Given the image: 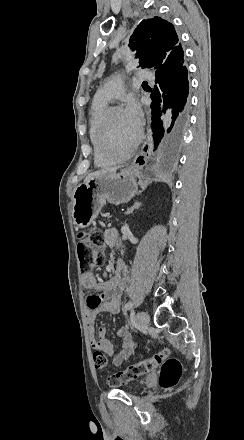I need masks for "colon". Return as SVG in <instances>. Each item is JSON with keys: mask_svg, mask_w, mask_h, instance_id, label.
Masks as SVG:
<instances>
[{"mask_svg": "<svg viewBox=\"0 0 244 440\" xmlns=\"http://www.w3.org/2000/svg\"><path fill=\"white\" fill-rule=\"evenodd\" d=\"M104 243L105 240L101 232H93L91 234L82 232L79 234L77 255L82 272L90 273L94 267L100 264L101 256L98 251L103 247ZM92 363L95 369L105 370L108 367V357L101 351H94ZM157 366H161L159 385L165 389L176 385L179 381L177 376L183 374L181 365H179L175 358L169 357L167 349H163L151 357L126 366L117 373H109L108 379L111 386H119L151 373Z\"/></svg>", "mask_w": 244, "mask_h": 440, "instance_id": "5ec220e1", "label": "colon"}]
</instances>
